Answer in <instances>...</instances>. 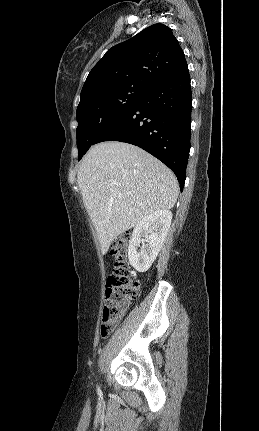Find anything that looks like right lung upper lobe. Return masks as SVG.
Segmentation results:
<instances>
[{
	"mask_svg": "<svg viewBox=\"0 0 259 431\" xmlns=\"http://www.w3.org/2000/svg\"><path fill=\"white\" fill-rule=\"evenodd\" d=\"M186 68L183 50L172 30L163 24H154L105 53L90 71L80 102L94 94L124 86L148 90Z\"/></svg>",
	"mask_w": 259,
	"mask_h": 431,
	"instance_id": "cb5924a9",
	"label": "right lung upper lobe"
}]
</instances>
